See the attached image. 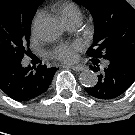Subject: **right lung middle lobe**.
I'll list each match as a JSON object with an SVG mask.
<instances>
[{"mask_svg": "<svg viewBox=\"0 0 135 135\" xmlns=\"http://www.w3.org/2000/svg\"><path fill=\"white\" fill-rule=\"evenodd\" d=\"M35 12L25 0H0V54L20 60L27 54Z\"/></svg>", "mask_w": 135, "mask_h": 135, "instance_id": "right-lung-middle-lobe-1", "label": "right lung middle lobe"}]
</instances>
